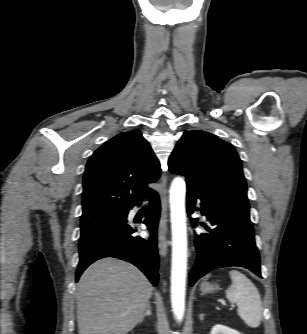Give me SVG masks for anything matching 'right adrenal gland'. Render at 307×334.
Segmentation results:
<instances>
[{
	"label": "right adrenal gland",
	"mask_w": 307,
	"mask_h": 334,
	"mask_svg": "<svg viewBox=\"0 0 307 334\" xmlns=\"http://www.w3.org/2000/svg\"><path fill=\"white\" fill-rule=\"evenodd\" d=\"M150 315H151V306L150 304H148L147 309L140 320V323L144 320L145 317L150 316Z\"/></svg>",
	"instance_id": "1"
}]
</instances>
